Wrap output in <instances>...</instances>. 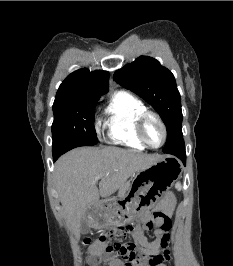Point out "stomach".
<instances>
[{
    "mask_svg": "<svg viewBox=\"0 0 233 266\" xmlns=\"http://www.w3.org/2000/svg\"><path fill=\"white\" fill-rule=\"evenodd\" d=\"M172 160V156H163L155 164L136 172L126 194L109 199V204H100V209L94 211L96 227L120 231L125 225H138L134 212H123V209H148L170 185H178L182 167H169L180 166V161Z\"/></svg>",
    "mask_w": 233,
    "mask_h": 266,
    "instance_id": "1",
    "label": "stomach"
}]
</instances>
